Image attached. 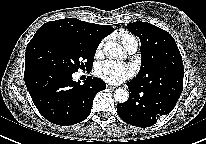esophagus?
Here are the masks:
<instances>
[{"label":"esophagus","instance_id":"esophagus-1","mask_svg":"<svg viewBox=\"0 0 206 144\" xmlns=\"http://www.w3.org/2000/svg\"><path fill=\"white\" fill-rule=\"evenodd\" d=\"M107 88H108L109 90H114V89H116V87H114V86H112V85H107Z\"/></svg>","mask_w":206,"mask_h":144}]
</instances>
